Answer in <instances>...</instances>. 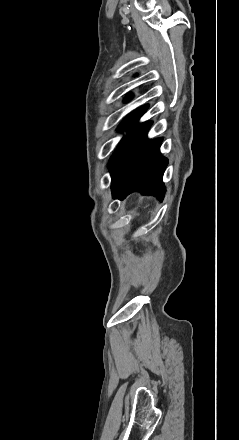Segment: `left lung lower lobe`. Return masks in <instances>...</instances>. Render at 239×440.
<instances>
[{"mask_svg":"<svg viewBox=\"0 0 239 440\" xmlns=\"http://www.w3.org/2000/svg\"><path fill=\"white\" fill-rule=\"evenodd\" d=\"M147 108L148 105H144L127 116L119 130L137 122ZM151 124L146 122L134 127L111 156L109 168L113 198L123 199L134 191H142L163 199L165 187L162 176L168 159L159 151L162 139L148 140L146 137Z\"/></svg>","mask_w":239,"mask_h":440,"instance_id":"1","label":"left lung lower lobe"}]
</instances>
